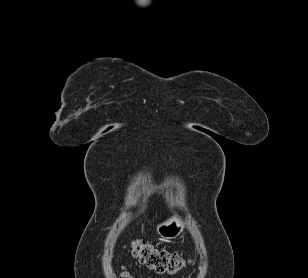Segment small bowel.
Here are the masks:
<instances>
[{
	"label": "small bowel",
	"mask_w": 308,
	"mask_h": 278,
	"mask_svg": "<svg viewBox=\"0 0 308 278\" xmlns=\"http://www.w3.org/2000/svg\"><path fill=\"white\" fill-rule=\"evenodd\" d=\"M121 268L124 270L121 278H134V275L129 271L130 266L122 265Z\"/></svg>",
	"instance_id": "obj_1"
}]
</instances>
